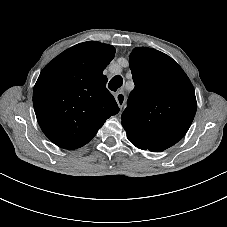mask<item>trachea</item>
Here are the masks:
<instances>
[{
  "mask_svg": "<svg viewBox=\"0 0 227 227\" xmlns=\"http://www.w3.org/2000/svg\"><path fill=\"white\" fill-rule=\"evenodd\" d=\"M122 83H123V78L120 75H116L110 80L108 84V88L111 91H117V89L122 86Z\"/></svg>",
  "mask_w": 227,
  "mask_h": 227,
  "instance_id": "trachea-1",
  "label": "trachea"
}]
</instances>
